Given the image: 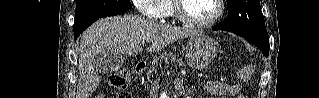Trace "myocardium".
<instances>
[{
  "label": "myocardium",
  "instance_id": "obj_1",
  "mask_svg": "<svg viewBox=\"0 0 319 98\" xmlns=\"http://www.w3.org/2000/svg\"><path fill=\"white\" fill-rule=\"evenodd\" d=\"M183 0H173L174 15L183 24L194 28H208L213 26L222 17L224 12V1L215 0L217 11L213 17L205 21H198L187 17L182 11Z\"/></svg>",
  "mask_w": 319,
  "mask_h": 98
}]
</instances>
